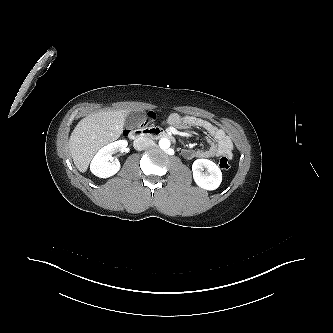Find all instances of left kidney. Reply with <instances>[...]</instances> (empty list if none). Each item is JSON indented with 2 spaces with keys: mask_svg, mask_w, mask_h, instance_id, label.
<instances>
[{
  "mask_svg": "<svg viewBox=\"0 0 333 333\" xmlns=\"http://www.w3.org/2000/svg\"><path fill=\"white\" fill-rule=\"evenodd\" d=\"M192 170L194 181L205 190H215L221 184L222 172L220 168L208 159L195 160Z\"/></svg>",
  "mask_w": 333,
  "mask_h": 333,
  "instance_id": "1",
  "label": "left kidney"
}]
</instances>
